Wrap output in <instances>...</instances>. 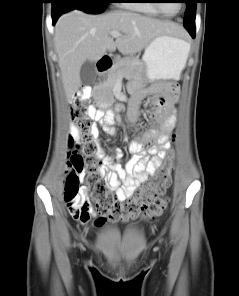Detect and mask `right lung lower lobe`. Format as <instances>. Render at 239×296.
Listing matches in <instances>:
<instances>
[{
    "mask_svg": "<svg viewBox=\"0 0 239 296\" xmlns=\"http://www.w3.org/2000/svg\"><path fill=\"white\" fill-rule=\"evenodd\" d=\"M60 7V2H56L55 6H53V12H52V20H53V24H55L56 20L58 19V17L64 13L62 11V9H59Z\"/></svg>",
    "mask_w": 239,
    "mask_h": 296,
    "instance_id": "obj_1",
    "label": "right lung lower lobe"
}]
</instances>
